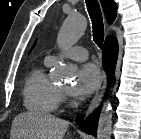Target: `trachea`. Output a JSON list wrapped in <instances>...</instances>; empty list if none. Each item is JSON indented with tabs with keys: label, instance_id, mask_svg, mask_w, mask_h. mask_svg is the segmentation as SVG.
<instances>
[{
	"label": "trachea",
	"instance_id": "obj_1",
	"mask_svg": "<svg viewBox=\"0 0 141 139\" xmlns=\"http://www.w3.org/2000/svg\"><path fill=\"white\" fill-rule=\"evenodd\" d=\"M86 5L92 21L93 40L98 47H102L104 41V25L100 5L97 0H86Z\"/></svg>",
	"mask_w": 141,
	"mask_h": 139
}]
</instances>
